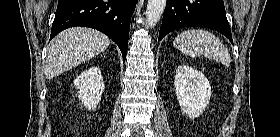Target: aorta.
<instances>
[{
	"mask_svg": "<svg viewBox=\"0 0 280 137\" xmlns=\"http://www.w3.org/2000/svg\"><path fill=\"white\" fill-rule=\"evenodd\" d=\"M166 0H148L146 10V21L148 28H152L160 20L164 12Z\"/></svg>",
	"mask_w": 280,
	"mask_h": 137,
	"instance_id": "aorta-1",
	"label": "aorta"
}]
</instances>
